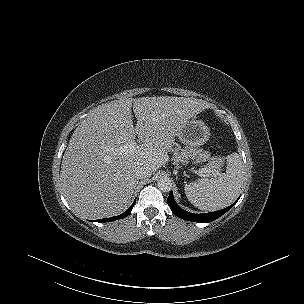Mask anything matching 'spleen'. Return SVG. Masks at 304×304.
<instances>
[{"mask_svg":"<svg viewBox=\"0 0 304 304\" xmlns=\"http://www.w3.org/2000/svg\"><path fill=\"white\" fill-rule=\"evenodd\" d=\"M226 161V173L185 186L188 200L198 209L215 211L230 205L238 197L244 183L243 162L238 153H231Z\"/></svg>","mask_w":304,"mask_h":304,"instance_id":"obj_1","label":"spleen"}]
</instances>
